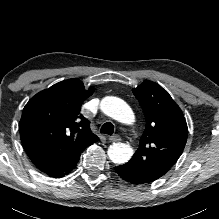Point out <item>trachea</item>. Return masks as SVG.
Segmentation results:
<instances>
[{
    "label": "trachea",
    "mask_w": 219,
    "mask_h": 219,
    "mask_svg": "<svg viewBox=\"0 0 219 219\" xmlns=\"http://www.w3.org/2000/svg\"><path fill=\"white\" fill-rule=\"evenodd\" d=\"M101 133L112 135L114 132V126L111 122H106L100 130Z\"/></svg>",
    "instance_id": "3493384b"
}]
</instances>
